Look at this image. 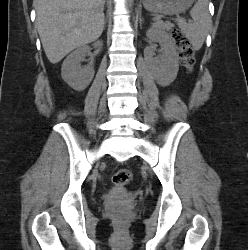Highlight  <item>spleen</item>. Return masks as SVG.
Returning a JSON list of instances; mask_svg holds the SVG:
<instances>
[{
    "instance_id": "1",
    "label": "spleen",
    "mask_w": 248,
    "mask_h": 250,
    "mask_svg": "<svg viewBox=\"0 0 248 250\" xmlns=\"http://www.w3.org/2000/svg\"><path fill=\"white\" fill-rule=\"evenodd\" d=\"M193 23H187L185 19L178 18L177 24L181 32L187 37L195 50L202 47L211 27V17L208 11V0H197L190 11Z\"/></svg>"
}]
</instances>
